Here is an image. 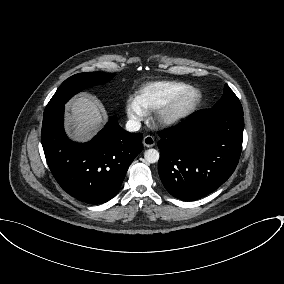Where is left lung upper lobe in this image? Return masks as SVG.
<instances>
[{
    "mask_svg": "<svg viewBox=\"0 0 284 284\" xmlns=\"http://www.w3.org/2000/svg\"><path fill=\"white\" fill-rule=\"evenodd\" d=\"M214 108H228L243 111L239 99L227 84L224 86V93L221 99L214 105Z\"/></svg>",
    "mask_w": 284,
    "mask_h": 284,
    "instance_id": "5c2ea615",
    "label": "left lung upper lobe"
}]
</instances>
